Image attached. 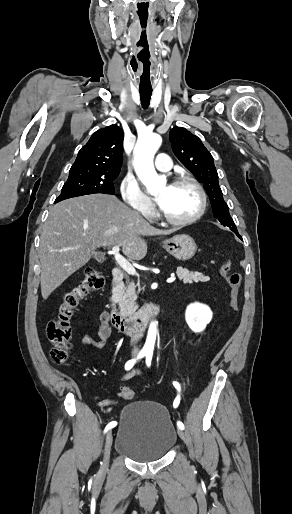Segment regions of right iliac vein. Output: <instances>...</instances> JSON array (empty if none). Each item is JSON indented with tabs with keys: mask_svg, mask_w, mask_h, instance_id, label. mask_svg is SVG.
I'll return each instance as SVG.
<instances>
[{
	"mask_svg": "<svg viewBox=\"0 0 292 514\" xmlns=\"http://www.w3.org/2000/svg\"><path fill=\"white\" fill-rule=\"evenodd\" d=\"M112 443H113V435H112V432L109 431L107 433L106 440H105L104 458H103V461H102L101 467H100V475H104L107 470Z\"/></svg>",
	"mask_w": 292,
	"mask_h": 514,
	"instance_id": "63e3f726",
	"label": "right iliac vein"
}]
</instances>
